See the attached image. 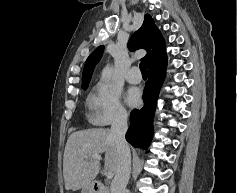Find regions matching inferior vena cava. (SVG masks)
<instances>
[{
	"instance_id": "obj_1",
	"label": "inferior vena cava",
	"mask_w": 237,
	"mask_h": 193,
	"mask_svg": "<svg viewBox=\"0 0 237 193\" xmlns=\"http://www.w3.org/2000/svg\"><path fill=\"white\" fill-rule=\"evenodd\" d=\"M128 115L126 112H119L111 125V133L115 138L119 153V165L115 177L111 183V193H125V189L131 172V154L129 145L125 139L128 129Z\"/></svg>"
}]
</instances>
